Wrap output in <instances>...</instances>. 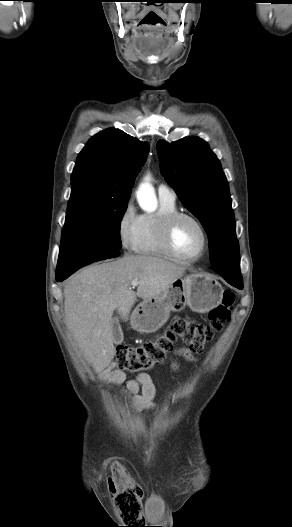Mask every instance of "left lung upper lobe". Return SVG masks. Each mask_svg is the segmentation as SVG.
Wrapping results in <instances>:
<instances>
[{
  "instance_id": "left-lung-upper-lobe-1",
  "label": "left lung upper lobe",
  "mask_w": 292,
  "mask_h": 527,
  "mask_svg": "<svg viewBox=\"0 0 292 527\" xmlns=\"http://www.w3.org/2000/svg\"><path fill=\"white\" fill-rule=\"evenodd\" d=\"M161 173L209 239L211 262L240 265L228 182L216 155L198 137L157 142Z\"/></svg>"
}]
</instances>
